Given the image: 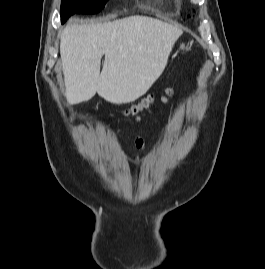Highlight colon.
Instances as JSON below:
<instances>
[{"mask_svg":"<svg viewBox=\"0 0 265 269\" xmlns=\"http://www.w3.org/2000/svg\"><path fill=\"white\" fill-rule=\"evenodd\" d=\"M171 94V90L167 89L165 90L164 96L161 97L162 100H165V97ZM155 102V95H150L143 99L141 102L138 104L132 106L128 110L125 111V114L127 116H132L139 118L140 115H142L144 112H147L150 110L152 105Z\"/></svg>","mask_w":265,"mask_h":269,"instance_id":"colon-1","label":"colon"}]
</instances>
